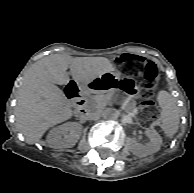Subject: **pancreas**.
I'll return each mask as SVG.
<instances>
[{"mask_svg": "<svg viewBox=\"0 0 194 193\" xmlns=\"http://www.w3.org/2000/svg\"><path fill=\"white\" fill-rule=\"evenodd\" d=\"M100 99H103L102 106H104L107 102L116 103L120 105L129 115L134 116L136 113V103L135 101H131L127 99L126 95H122L120 93H112L108 92L107 94H100Z\"/></svg>", "mask_w": 194, "mask_h": 193, "instance_id": "obj_1", "label": "pancreas"}]
</instances>
